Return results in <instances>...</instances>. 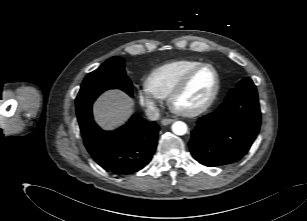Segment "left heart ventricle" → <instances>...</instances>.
<instances>
[{"instance_id": "1", "label": "left heart ventricle", "mask_w": 307, "mask_h": 221, "mask_svg": "<svg viewBox=\"0 0 307 221\" xmlns=\"http://www.w3.org/2000/svg\"><path fill=\"white\" fill-rule=\"evenodd\" d=\"M215 74L212 69L201 70L191 81L186 91L178 98L177 107L190 110L202 105L212 94Z\"/></svg>"}]
</instances>
